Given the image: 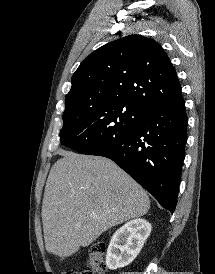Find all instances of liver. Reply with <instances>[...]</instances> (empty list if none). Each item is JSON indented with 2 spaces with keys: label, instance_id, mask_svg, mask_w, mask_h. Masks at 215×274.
I'll return each mask as SVG.
<instances>
[{
  "label": "liver",
  "instance_id": "6515ba94",
  "mask_svg": "<svg viewBox=\"0 0 215 274\" xmlns=\"http://www.w3.org/2000/svg\"><path fill=\"white\" fill-rule=\"evenodd\" d=\"M42 203L45 247L69 257L109 228L145 215L147 193L113 161L60 151Z\"/></svg>",
  "mask_w": 215,
  "mask_h": 274
}]
</instances>
